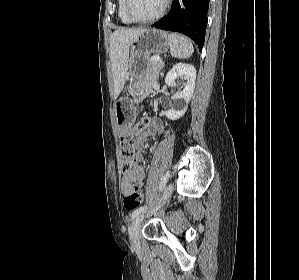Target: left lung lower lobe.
<instances>
[{"mask_svg":"<svg viewBox=\"0 0 299 280\" xmlns=\"http://www.w3.org/2000/svg\"><path fill=\"white\" fill-rule=\"evenodd\" d=\"M210 0H173L170 12L152 25L189 36L201 51L205 41L206 14Z\"/></svg>","mask_w":299,"mask_h":280,"instance_id":"left-lung-lower-lobe-1","label":"left lung lower lobe"}]
</instances>
